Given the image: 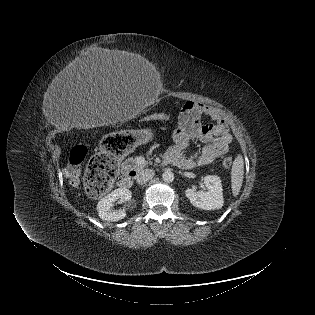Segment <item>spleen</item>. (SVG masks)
I'll use <instances>...</instances> for the list:
<instances>
[{"label": "spleen", "instance_id": "1", "mask_svg": "<svg viewBox=\"0 0 315 315\" xmlns=\"http://www.w3.org/2000/svg\"><path fill=\"white\" fill-rule=\"evenodd\" d=\"M244 175V160L238 155L233 162L231 170V188L233 196H237L240 192Z\"/></svg>", "mask_w": 315, "mask_h": 315}]
</instances>
